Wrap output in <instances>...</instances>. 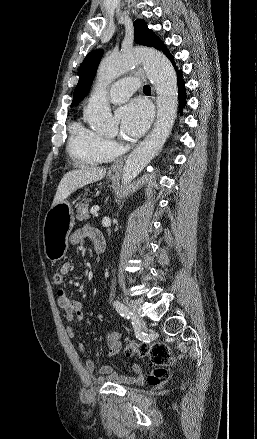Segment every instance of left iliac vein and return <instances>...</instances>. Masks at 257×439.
Segmentation results:
<instances>
[{
	"label": "left iliac vein",
	"instance_id": "4c4485c4",
	"mask_svg": "<svg viewBox=\"0 0 257 439\" xmlns=\"http://www.w3.org/2000/svg\"><path fill=\"white\" fill-rule=\"evenodd\" d=\"M129 311L133 314L132 320L135 324H139L141 321V303L137 300H132L128 302Z\"/></svg>",
	"mask_w": 257,
	"mask_h": 439
}]
</instances>
